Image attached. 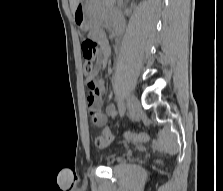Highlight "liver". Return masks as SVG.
<instances>
[{"label": "liver", "instance_id": "liver-1", "mask_svg": "<svg viewBox=\"0 0 223 191\" xmlns=\"http://www.w3.org/2000/svg\"><path fill=\"white\" fill-rule=\"evenodd\" d=\"M69 2H70L71 11L74 14L75 8L78 5V3L80 2V0H69Z\"/></svg>", "mask_w": 223, "mask_h": 191}]
</instances>
